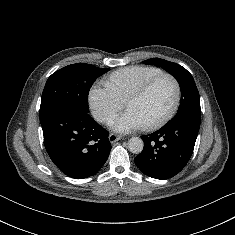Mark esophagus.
Instances as JSON below:
<instances>
[{
    "instance_id": "34e87169",
    "label": "esophagus",
    "mask_w": 235,
    "mask_h": 235,
    "mask_svg": "<svg viewBox=\"0 0 235 235\" xmlns=\"http://www.w3.org/2000/svg\"><path fill=\"white\" fill-rule=\"evenodd\" d=\"M108 138H109V141H110L111 143H114V142H116V141L121 140V139H122V136H119V135H116V134L111 133Z\"/></svg>"
}]
</instances>
